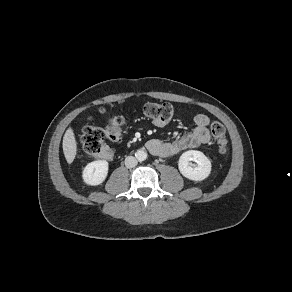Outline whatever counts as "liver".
I'll use <instances>...</instances> for the list:
<instances>
[{"label":"liver","instance_id":"obj_1","mask_svg":"<svg viewBox=\"0 0 292 292\" xmlns=\"http://www.w3.org/2000/svg\"><path fill=\"white\" fill-rule=\"evenodd\" d=\"M63 152L68 164H71L77 153V144L72 128H68L63 137Z\"/></svg>","mask_w":292,"mask_h":292}]
</instances>
